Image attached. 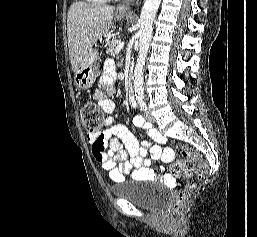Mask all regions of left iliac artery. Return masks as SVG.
<instances>
[{"instance_id":"1","label":"left iliac artery","mask_w":257,"mask_h":237,"mask_svg":"<svg viewBox=\"0 0 257 237\" xmlns=\"http://www.w3.org/2000/svg\"><path fill=\"white\" fill-rule=\"evenodd\" d=\"M139 105H140L141 110H146L147 109L145 101H140Z\"/></svg>"}]
</instances>
